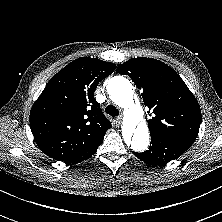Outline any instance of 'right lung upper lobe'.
<instances>
[{"label":"right lung upper lobe","instance_id":"cb5924a9","mask_svg":"<svg viewBox=\"0 0 222 222\" xmlns=\"http://www.w3.org/2000/svg\"><path fill=\"white\" fill-rule=\"evenodd\" d=\"M114 70L113 63L81 57L48 82L30 112L32 134L46 155L79 163L97 151L111 123L93 94Z\"/></svg>","mask_w":222,"mask_h":222}]
</instances>
